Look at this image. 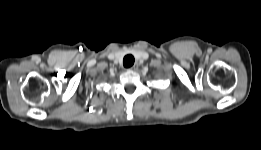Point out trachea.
Masks as SVG:
<instances>
[{
    "mask_svg": "<svg viewBox=\"0 0 261 150\" xmlns=\"http://www.w3.org/2000/svg\"><path fill=\"white\" fill-rule=\"evenodd\" d=\"M134 64V57L132 55H126L123 59L124 67L128 68Z\"/></svg>",
    "mask_w": 261,
    "mask_h": 150,
    "instance_id": "3493384b",
    "label": "trachea"
}]
</instances>
